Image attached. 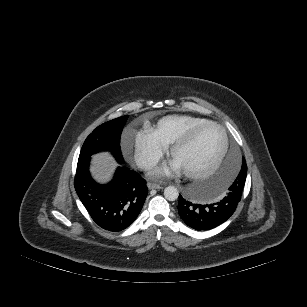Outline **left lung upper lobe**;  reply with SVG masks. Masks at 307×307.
<instances>
[{
  "instance_id": "obj_1",
  "label": "left lung upper lobe",
  "mask_w": 307,
  "mask_h": 307,
  "mask_svg": "<svg viewBox=\"0 0 307 307\" xmlns=\"http://www.w3.org/2000/svg\"><path fill=\"white\" fill-rule=\"evenodd\" d=\"M246 175H247V165L245 160H242V167L241 170L238 174V176L236 177L234 183L232 184V186L229 188L230 191H238V193L242 194L244 185H245V181H246Z\"/></svg>"
}]
</instances>
